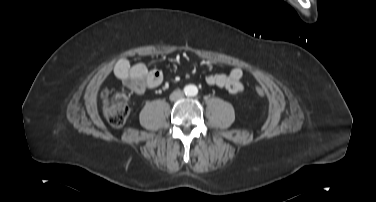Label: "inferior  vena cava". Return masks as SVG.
<instances>
[{"mask_svg": "<svg viewBox=\"0 0 376 202\" xmlns=\"http://www.w3.org/2000/svg\"><path fill=\"white\" fill-rule=\"evenodd\" d=\"M184 96V93L181 90H175L173 93L170 95V100H178L181 99Z\"/></svg>", "mask_w": 376, "mask_h": 202, "instance_id": "inferior-vena-cava-1", "label": "inferior vena cava"}]
</instances>
